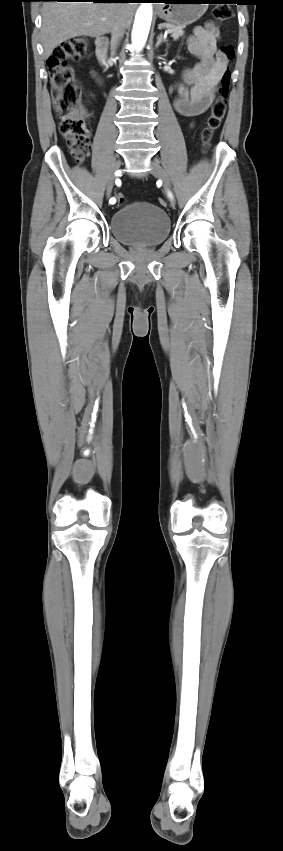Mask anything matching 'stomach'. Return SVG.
Wrapping results in <instances>:
<instances>
[{"label":"stomach","instance_id":"0dacf381","mask_svg":"<svg viewBox=\"0 0 283 851\" xmlns=\"http://www.w3.org/2000/svg\"><path fill=\"white\" fill-rule=\"evenodd\" d=\"M156 7L158 16L177 26L197 21L207 10L208 0H163Z\"/></svg>","mask_w":283,"mask_h":851}]
</instances>
